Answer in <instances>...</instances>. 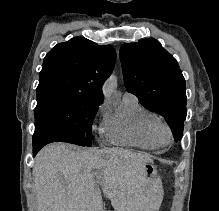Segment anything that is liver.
Returning a JSON list of instances; mask_svg holds the SVG:
<instances>
[{
  "label": "liver",
  "instance_id": "liver-1",
  "mask_svg": "<svg viewBox=\"0 0 219 211\" xmlns=\"http://www.w3.org/2000/svg\"><path fill=\"white\" fill-rule=\"evenodd\" d=\"M147 153L120 147L70 149L49 143L33 167L36 211H104L102 195L115 211H151V191L142 165Z\"/></svg>",
  "mask_w": 219,
  "mask_h": 211
}]
</instances>
